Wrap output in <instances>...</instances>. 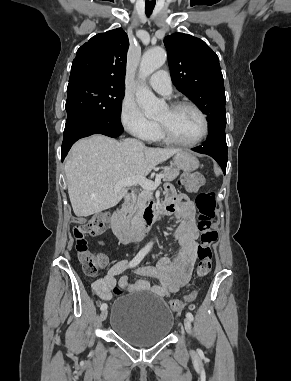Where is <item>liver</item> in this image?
Returning <instances> with one entry per match:
<instances>
[{
    "instance_id": "obj_1",
    "label": "liver",
    "mask_w": 291,
    "mask_h": 381,
    "mask_svg": "<svg viewBox=\"0 0 291 381\" xmlns=\"http://www.w3.org/2000/svg\"><path fill=\"white\" fill-rule=\"evenodd\" d=\"M179 152L182 150L147 148L135 139L118 142L104 135L78 141L64 167L75 215L87 217L116 206L127 194L126 187L115 190L118 181L145 177Z\"/></svg>"
}]
</instances>
